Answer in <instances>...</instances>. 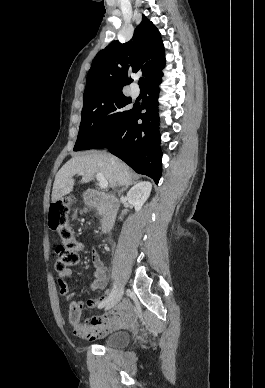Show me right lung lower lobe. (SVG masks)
<instances>
[{
    "instance_id": "right-lung-lower-lobe-1",
    "label": "right lung lower lobe",
    "mask_w": 265,
    "mask_h": 388,
    "mask_svg": "<svg viewBox=\"0 0 265 388\" xmlns=\"http://www.w3.org/2000/svg\"><path fill=\"white\" fill-rule=\"evenodd\" d=\"M162 75L147 83V99L142 105L133 107L117 136L106 146L112 154L125 161L137 173L151 177L156 184L162 171L157 101ZM143 110L146 112L142 113ZM139 119L142 120L141 124H138Z\"/></svg>"
}]
</instances>
